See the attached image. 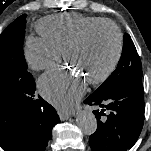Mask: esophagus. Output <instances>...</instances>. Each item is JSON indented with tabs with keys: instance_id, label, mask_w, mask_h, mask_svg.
<instances>
[{
	"instance_id": "esophagus-1",
	"label": "esophagus",
	"mask_w": 151,
	"mask_h": 151,
	"mask_svg": "<svg viewBox=\"0 0 151 151\" xmlns=\"http://www.w3.org/2000/svg\"><path fill=\"white\" fill-rule=\"evenodd\" d=\"M58 115H59L61 120H67L71 115H74V112L73 113H67V112L59 111Z\"/></svg>"
}]
</instances>
